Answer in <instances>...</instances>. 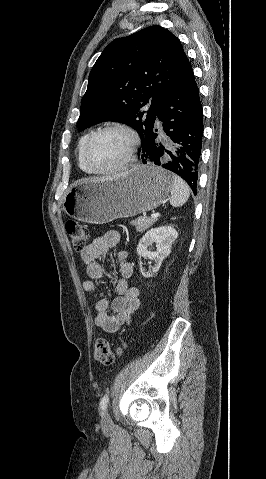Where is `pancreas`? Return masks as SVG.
<instances>
[{"instance_id": "obj_1", "label": "pancreas", "mask_w": 266, "mask_h": 479, "mask_svg": "<svg viewBox=\"0 0 266 479\" xmlns=\"http://www.w3.org/2000/svg\"><path fill=\"white\" fill-rule=\"evenodd\" d=\"M157 221L156 218H148L145 216H140L135 220L130 222L131 225L136 227L137 232H144L146 229L151 227Z\"/></svg>"}]
</instances>
